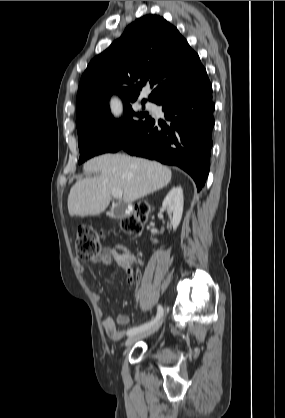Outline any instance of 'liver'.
<instances>
[{
  "label": "liver",
  "mask_w": 285,
  "mask_h": 418,
  "mask_svg": "<svg viewBox=\"0 0 285 418\" xmlns=\"http://www.w3.org/2000/svg\"><path fill=\"white\" fill-rule=\"evenodd\" d=\"M83 169L100 175L79 180L72 186L68 195L70 216L103 212L113 190H121L124 203L130 204L165 187L172 177L171 170L158 162L119 153L94 157Z\"/></svg>",
  "instance_id": "1"
}]
</instances>
